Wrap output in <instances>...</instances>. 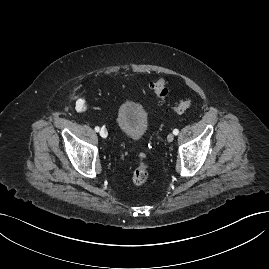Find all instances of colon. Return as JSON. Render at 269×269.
Returning a JSON list of instances; mask_svg holds the SVG:
<instances>
[{"label": "colon", "instance_id": "obj_1", "mask_svg": "<svg viewBox=\"0 0 269 269\" xmlns=\"http://www.w3.org/2000/svg\"><path fill=\"white\" fill-rule=\"evenodd\" d=\"M150 88L161 103H165L169 95L167 83L163 78H155L150 83ZM193 104V99L188 97L181 100L179 103L171 106V110L176 114H182L187 111ZM150 177V169L146 162V155L140 153L137 157L136 166L132 172V181L135 185L140 186L145 184Z\"/></svg>", "mask_w": 269, "mask_h": 269}]
</instances>
